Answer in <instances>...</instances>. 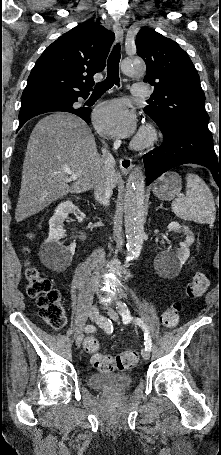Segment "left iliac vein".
<instances>
[{
    "label": "left iliac vein",
    "instance_id": "1",
    "mask_svg": "<svg viewBox=\"0 0 221 455\" xmlns=\"http://www.w3.org/2000/svg\"><path fill=\"white\" fill-rule=\"evenodd\" d=\"M117 303H118V302H117ZM117 307H119L118 304H117ZM108 315H109V317H110L112 320H114V321H118V319H119V316H118L117 312H116L115 310H113V309H109V310H108ZM141 355H142V357H143L144 359H146V360H148V359L150 358L149 351H147V350H145V349H143V350L141 351Z\"/></svg>",
    "mask_w": 221,
    "mask_h": 455
}]
</instances>
